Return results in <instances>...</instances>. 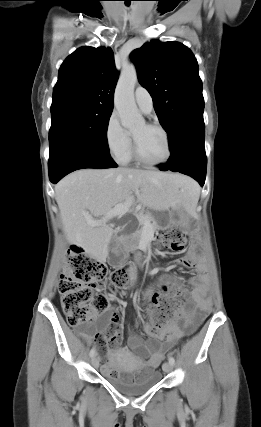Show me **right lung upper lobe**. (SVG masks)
<instances>
[{
  "label": "right lung upper lobe",
  "mask_w": 261,
  "mask_h": 427,
  "mask_svg": "<svg viewBox=\"0 0 261 427\" xmlns=\"http://www.w3.org/2000/svg\"><path fill=\"white\" fill-rule=\"evenodd\" d=\"M117 78L110 48L80 47L59 69L51 109L70 105L113 109Z\"/></svg>",
  "instance_id": "cb5924a9"
}]
</instances>
